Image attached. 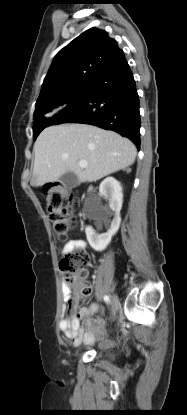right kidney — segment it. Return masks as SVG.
<instances>
[{"instance_id":"right-kidney-1","label":"right kidney","mask_w":187,"mask_h":415,"mask_svg":"<svg viewBox=\"0 0 187 415\" xmlns=\"http://www.w3.org/2000/svg\"><path fill=\"white\" fill-rule=\"evenodd\" d=\"M99 193L109 201V207L115 215L106 233L98 234L91 226L85 228L87 240L95 251L105 250L117 233L121 223L120 210L123 202L122 187L113 177H107L101 182Z\"/></svg>"}]
</instances>
